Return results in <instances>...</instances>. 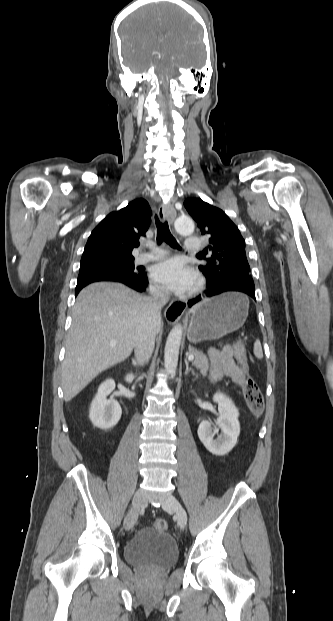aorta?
I'll return each instance as SVG.
<instances>
[{"mask_svg": "<svg viewBox=\"0 0 333 621\" xmlns=\"http://www.w3.org/2000/svg\"><path fill=\"white\" fill-rule=\"evenodd\" d=\"M194 228L190 218L179 217L175 221V229L180 235L189 236L194 232ZM181 339L182 327L178 324L170 331L165 345L164 367L168 374L174 373L177 369Z\"/></svg>", "mask_w": 333, "mask_h": 621, "instance_id": "762f6f07", "label": "aorta"}]
</instances>
